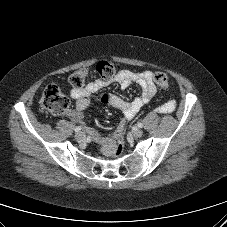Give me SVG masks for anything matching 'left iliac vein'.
I'll return each instance as SVG.
<instances>
[{"label": "left iliac vein", "instance_id": "1", "mask_svg": "<svg viewBox=\"0 0 227 227\" xmlns=\"http://www.w3.org/2000/svg\"><path fill=\"white\" fill-rule=\"evenodd\" d=\"M132 134L135 138H140L143 135V131L141 129H135Z\"/></svg>", "mask_w": 227, "mask_h": 227}]
</instances>
